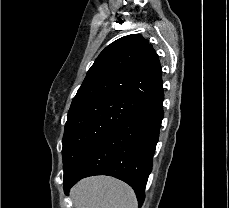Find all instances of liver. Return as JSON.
Listing matches in <instances>:
<instances>
[{
	"label": "liver",
	"mask_w": 229,
	"mask_h": 208,
	"mask_svg": "<svg viewBox=\"0 0 229 208\" xmlns=\"http://www.w3.org/2000/svg\"><path fill=\"white\" fill-rule=\"evenodd\" d=\"M71 196L75 208H138L132 188L109 176L81 180L72 188Z\"/></svg>",
	"instance_id": "obj_1"
}]
</instances>
